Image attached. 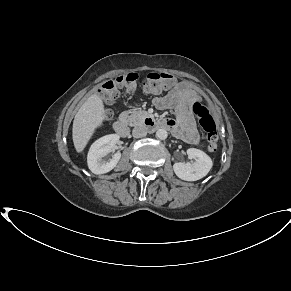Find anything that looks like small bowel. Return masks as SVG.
<instances>
[{
  "label": "small bowel",
  "mask_w": 291,
  "mask_h": 291,
  "mask_svg": "<svg viewBox=\"0 0 291 291\" xmlns=\"http://www.w3.org/2000/svg\"><path fill=\"white\" fill-rule=\"evenodd\" d=\"M199 99V94L187 81L178 82L166 95L154 99V105L161 110L173 109L177 112V119L164 120L167 128L183 141L198 145L200 135L191 113V105Z\"/></svg>",
  "instance_id": "c3829d8e"
}]
</instances>
